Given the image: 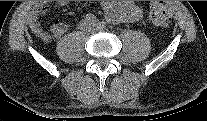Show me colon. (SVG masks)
I'll return each mask as SVG.
<instances>
[{
	"label": "colon",
	"instance_id": "obj_1",
	"mask_svg": "<svg viewBox=\"0 0 207 121\" xmlns=\"http://www.w3.org/2000/svg\"><path fill=\"white\" fill-rule=\"evenodd\" d=\"M149 18L158 26H167L171 20V12L168 4L163 1H153L149 8Z\"/></svg>",
	"mask_w": 207,
	"mask_h": 121
}]
</instances>
